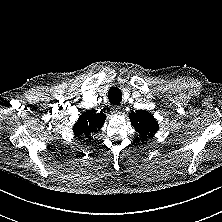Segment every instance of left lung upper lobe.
Returning a JSON list of instances; mask_svg holds the SVG:
<instances>
[{
  "label": "left lung upper lobe",
  "mask_w": 222,
  "mask_h": 222,
  "mask_svg": "<svg viewBox=\"0 0 222 222\" xmlns=\"http://www.w3.org/2000/svg\"><path fill=\"white\" fill-rule=\"evenodd\" d=\"M132 126L140 134L142 140L152 137L159 129L157 121L148 111L139 110L129 113Z\"/></svg>",
  "instance_id": "5c2ea615"
}]
</instances>
